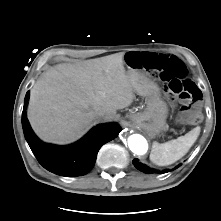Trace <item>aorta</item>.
<instances>
[{"instance_id": "762f6f07", "label": "aorta", "mask_w": 221, "mask_h": 221, "mask_svg": "<svg viewBox=\"0 0 221 221\" xmlns=\"http://www.w3.org/2000/svg\"><path fill=\"white\" fill-rule=\"evenodd\" d=\"M127 141L128 146L133 153L143 155L147 152L148 143L142 135L132 134L128 137Z\"/></svg>"}]
</instances>
